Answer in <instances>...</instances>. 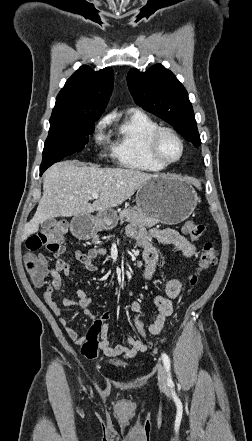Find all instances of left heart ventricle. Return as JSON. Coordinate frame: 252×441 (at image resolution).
Segmentation results:
<instances>
[{"instance_id":"1","label":"left heart ventricle","mask_w":252,"mask_h":441,"mask_svg":"<svg viewBox=\"0 0 252 441\" xmlns=\"http://www.w3.org/2000/svg\"><path fill=\"white\" fill-rule=\"evenodd\" d=\"M158 150L160 156L167 161L178 158L181 152V148L177 140L169 135H164L161 137L158 144Z\"/></svg>"}]
</instances>
